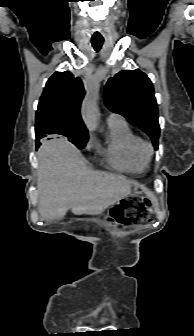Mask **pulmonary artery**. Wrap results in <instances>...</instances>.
<instances>
[{
    "mask_svg": "<svg viewBox=\"0 0 194 336\" xmlns=\"http://www.w3.org/2000/svg\"><path fill=\"white\" fill-rule=\"evenodd\" d=\"M124 119L122 118V116L115 114V113H110L107 117V124L109 126H113V125H118V124H122L124 123Z\"/></svg>",
    "mask_w": 194,
    "mask_h": 336,
    "instance_id": "pulmonary-artery-1",
    "label": "pulmonary artery"
}]
</instances>
